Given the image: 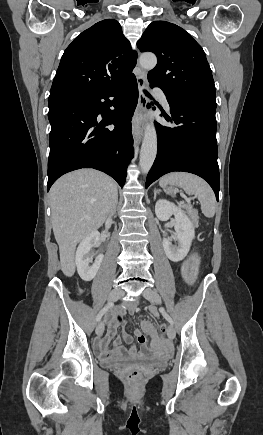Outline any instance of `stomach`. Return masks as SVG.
<instances>
[{"mask_svg": "<svg viewBox=\"0 0 263 435\" xmlns=\"http://www.w3.org/2000/svg\"><path fill=\"white\" fill-rule=\"evenodd\" d=\"M164 191L167 194H171V193H175L177 192V188L174 187V185H169V186H165L164 187ZM184 268L185 270L183 271L184 277L183 280L185 283H188L189 287H194L195 283L198 282L199 277L197 274H192V271L190 269H194L195 268V261L194 260H185L184 261Z\"/></svg>", "mask_w": 263, "mask_h": 435, "instance_id": "1", "label": "stomach"}]
</instances>
